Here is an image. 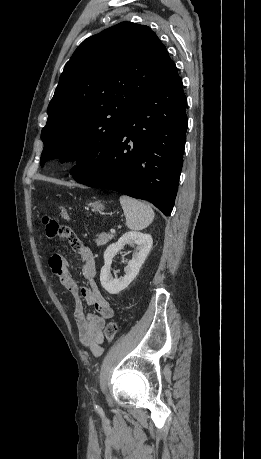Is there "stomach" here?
I'll use <instances>...</instances> for the list:
<instances>
[{
    "mask_svg": "<svg viewBox=\"0 0 261 459\" xmlns=\"http://www.w3.org/2000/svg\"><path fill=\"white\" fill-rule=\"evenodd\" d=\"M91 206H92V210L95 212H101L104 209L103 204L99 202H93Z\"/></svg>",
    "mask_w": 261,
    "mask_h": 459,
    "instance_id": "1",
    "label": "stomach"
}]
</instances>
